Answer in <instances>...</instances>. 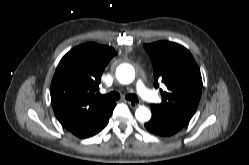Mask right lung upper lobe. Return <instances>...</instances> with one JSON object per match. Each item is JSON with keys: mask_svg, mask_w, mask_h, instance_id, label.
I'll return each instance as SVG.
<instances>
[{"mask_svg": "<svg viewBox=\"0 0 249 165\" xmlns=\"http://www.w3.org/2000/svg\"><path fill=\"white\" fill-rule=\"evenodd\" d=\"M116 54L112 47L85 43L59 62L51 82V103L68 131L93 121L113 104L98 98L96 91L106 65Z\"/></svg>", "mask_w": 249, "mask_h": 165, "instance_id": "obj_1", "label": "right lung upper lobe"}]
</instances>
